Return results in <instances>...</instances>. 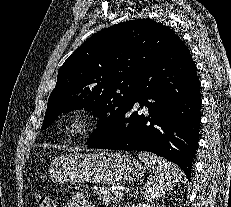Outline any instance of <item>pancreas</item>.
<instances>
[{"instance_id": "cf45deb5", "label": "pancreas", "mask_w": 231, "mask_h": 207, "mask_svg": "<svg viewBox=\"0 0 231 207\" xmlns=\"http://www.w3.org/2000/svg\"><path fill=\"white\" fill-rule=\"evenodd\" d=\"M95 193L98 195L99 200L106 205L118 201L117 198L118 191L116 190H112L107 187H99L98 189L95 190Z\"/></svg>"}]
</instances>
